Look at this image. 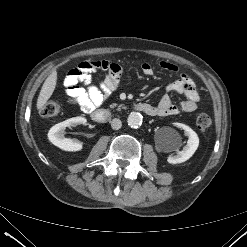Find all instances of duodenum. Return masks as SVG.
<instances>
[{
    "label": "duodenum",
    "mask_w": 247,
    "mask_h": 247,
    "mask_svg": "<svg viewBox=\"0 0 247 247\" xmlns=\"http://www.w3.org/2000/svg\"><path fill=\"white\" fill-rule=\"evenodd\" d=\"M133 107L148 116H155L157 113L156 108L148 103H136ZM91 117L95 122L106 123L111 119V113L107 109H96L91 113Z\"/></svg>",
    "instance_id": "1"
}]
</instances>
